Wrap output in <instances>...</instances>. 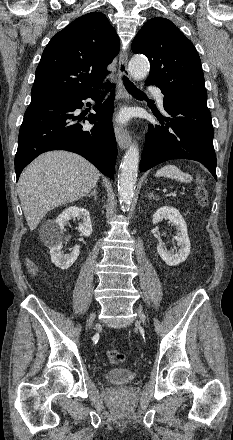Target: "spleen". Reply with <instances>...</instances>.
Returning a JSON list of instances; mask_svg holds the SVG:
<instances>
[{
    "label": "spleen",
    "instance_id": "1",
    "mask_svg": "<svg viewBox=\"0 0 233 440\" xmlns=\"http://www.w3.org/2000/svg\"><path fill=\"white\" fill-rule=\"evenodd\" d=\"M156 177H167L184 183H190L193 180L190 174L182 172L177 166L172 164L160 168L156 172Z\"/></svg>",
    "mask_w": 233,
    "mask_h": 440
}]
</instances>
